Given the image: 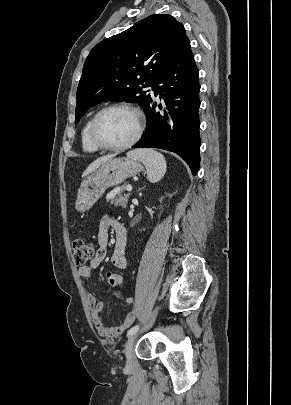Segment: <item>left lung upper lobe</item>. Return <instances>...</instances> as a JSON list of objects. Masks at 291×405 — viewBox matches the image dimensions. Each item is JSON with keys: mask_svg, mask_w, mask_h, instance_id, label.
<instances>
[{"mask_svg": "<svg viewBox=\"0 0 291 405\" xmlns=\"http://www.w3.org/2000/svg\"><path fill=\"white\" fill-rule=\"evenodd\" d=\"M184 26L168 14H154L98 43L89 53L77 88L75 123L104 101L147 107L158 75L186 38Z\"/></svg>", "mask_w": 291, "mask_h": 405, "instance_id": "5c2ea615", "label": "left lung upper lobe"}]
</instances>
